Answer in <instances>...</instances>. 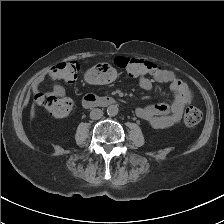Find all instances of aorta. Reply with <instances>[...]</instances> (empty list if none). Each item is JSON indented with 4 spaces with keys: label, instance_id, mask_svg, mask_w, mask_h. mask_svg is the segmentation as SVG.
<instances>
[{
    "label": "aorta",
    "instance_id": "762f6f07",
    "mask_svg": "<svg viewBox=\"0 0 224 224\" xmlns=\"http://www.w3.org/2000/svg\"><path fill=\"white\" fill-rule=\"evenodd\" d=\"M118 111H119V109H118L117 105H110V106L107 107V114L109 116L117 115Z\"/></svg>",
    "mask_w": 224,
    "mask_h": 224
}]
</instances>
